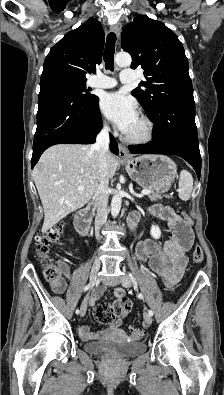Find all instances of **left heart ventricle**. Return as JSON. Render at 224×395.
<instances>
[{
    "instance_id": "1",
    "label": "left heart ventricle",
    "mask_w": 224,
    "mask_h": 395,
    "mask_svg": "<svg viewBox=\"0 0 224 395\" xmlns=\"http://www.w3.org/2000/svg\"><path fill=\"white\" fill-rule=\"evenodd\" d=\"M142 130V124L139 120V118L134 122V124L131 126V128L128 130L127 134L129 135H135L140 133Z\"/></svg>"
}]
</instances>
